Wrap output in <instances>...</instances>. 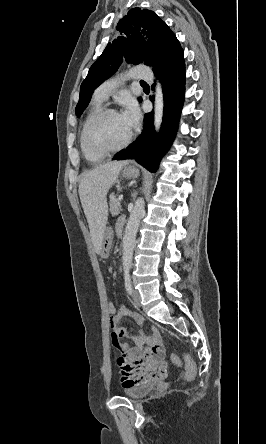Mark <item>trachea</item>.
Masks as SVG:
<instances>
[{"label":"trachea","instance_id":"obj_1","mask_svg":"<svg viewBox=\"0 0 266 444\" xmlns=\"http://www.w3.org/2000/svg\"><path fill=\"white\" fill-rule=\"evenodd\" d=\"M141 83H145L143 80L140 81Z\"/></svg>","mask_w":266,"mask_h":444}]
</instances>
